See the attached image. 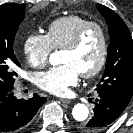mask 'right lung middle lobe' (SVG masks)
<instances>
[{
	"label": "right lung middle lobe",
	"instance_id": "1",
	"mask_svg": "<svg viewBox=\"0 0 133 133\" xmlns=\"http://www.w3.org/2000/svg\"><path fill=\"white\" fill-rule=\"evenodd\" d=\"M25 17V4L0 5V93L13 89L20 64L14 55L13 43Z\"/></svg>",
	"mask_w": 133,
	"mask_h": 133
}]
</instances>
